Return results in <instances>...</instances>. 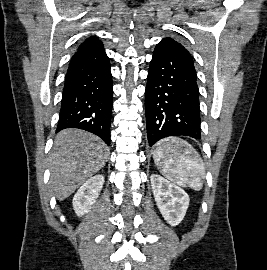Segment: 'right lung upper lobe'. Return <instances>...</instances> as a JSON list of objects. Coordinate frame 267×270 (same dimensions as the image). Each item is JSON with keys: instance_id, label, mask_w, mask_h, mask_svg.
<instances>
[{"instance_id": "obj_1", "label": "right lung upper lobe", "mask_w": 267, "mask_h": 270, "mask_svg": "<svg viewBox=\"0 0 267 270\" xmlns=\"http://www.w3.org/2000/svg\"><path fill=\"white\" fill-rule=\"evenodd\" d=\"M101 41L97 40L95 36H92L90 38H87L80 46H79V50L88 46H93V45H97L100 44Z\"/></svg>"}]
</instances>
